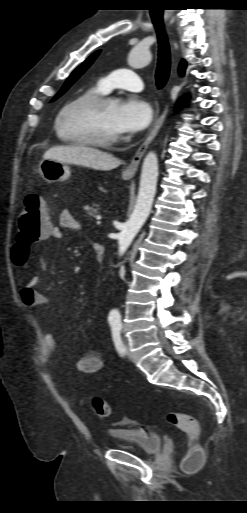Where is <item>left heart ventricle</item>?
Segmentation results:
<instances>
[{"instance_id": "1", "label": "left heart ventricle", "mask_w": 247, "mask_h": 513, "mask_svg": "<svg viewBox=\"0 0 247 513\" xmlns=\"http://www.w3.org/2000/svg\"><path fill=\"white\" fill-rule=\"evenodd\" d=\"M117 106L112 101L99 108L70 110L62 121L64 133L68 136L118 137L119 133L114 125Z\"/></svg>"}]
</instances>
